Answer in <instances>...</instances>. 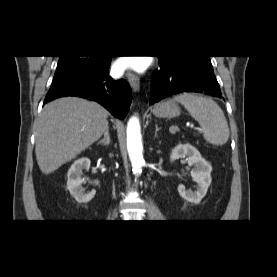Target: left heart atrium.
<instances>
[{
  "instance_id": "left-heart-atrium-1",
  "label": "left heart atrium",
  "mask_w": 277,
  "mask_h": 277,
  "mask_svg": "<svg viewBox=\"0 0 277 277\" xmlns=\"http://www.w3.org/2000/svg\"><path fill=\"white\" fill-rule=\"evenodd\" d=\"M120 66L122 68H127V67H134L137 69H141L143 67V64L140 62H135V61H123L120 63Z\"/></svg>"
}]
</instances>
